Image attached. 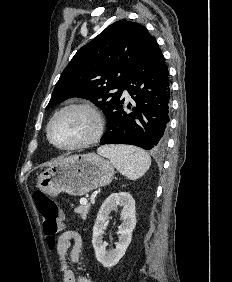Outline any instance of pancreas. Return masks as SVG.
Returning <instances> with one entry per match:
<instances>
[{
    "label": "pancreas",
    "mask_w": 232,
    "mask_h": 282,
    "mask_svg": "<svg viewBox=\"0 0 232 282\" xmlns=\"http://www.w3.org/2000/svg\"><path fill=\"white\" fill-rule=\"evenodd\" d=\"M89 209H90L89 205H80L74 211H75V213L80 214V216L83 220H86Z\"/></svg>",
    "instance_id": "obj_1"
}]
</instances>
